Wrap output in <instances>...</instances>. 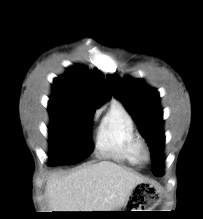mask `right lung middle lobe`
Returning a JSON list of instances; mask_svg holds the SVG:
<instances>
[{"label": "right lung middle lobe", "mask_w": 203, "mask_h": 219, "mask_svg": "<svg viewBox=\"0 0 203 219\" xmlns=\"http://www.w3.org/2000/svg\"><path fill=\"white\" fill-rule=\"evenodd\" d=\"M49 166L76 164L90 155L94 110L71 100L50 97Z\"/></svg>", "instance_id": "1"}]
</instances>
